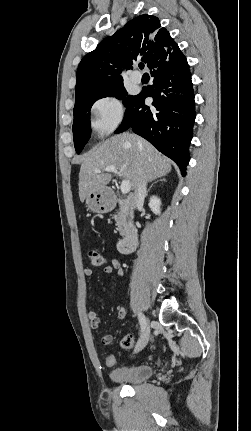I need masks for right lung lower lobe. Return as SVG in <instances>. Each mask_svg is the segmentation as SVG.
<instances>
[{
    "instance_id": "1",
    "label": "right lung lower lobe",
    "mask_w": 251,
    "mask_h": 431,
    "mask_svg": "<svg viewBox=\"0 0 251 431\" xmlns=\"http://www.w3.org/2000/svg\"><path fill=\"white\" fill-rule=\"evenodd\" d=\"M150 69L153 85L128 102L124 119L115 133L132 130L171 158L185 176L195 120L194 93L189 66L180 49ZM152 97V107L144 100Z\"/></svg>"
}]
</instances>
